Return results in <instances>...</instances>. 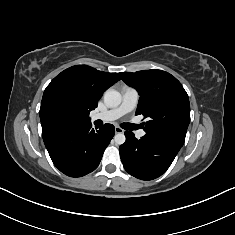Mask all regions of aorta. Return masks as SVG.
Here are the masks:
<instances>
[{
	"mask_svg": "<svg viewBox=\"0 0 235 235\" xmlns=\"http://www.w3.org/2000/svg\"><path fill=\"white\" fill-rule=\"evenodd\" d=\"M122 101L121 94L114 90V89H108L104 93V103L111 108L117 107L120 105ZM126 137L123 133H118L114 136V141L118 145H122L125 143Z\"/></svg>",
	"mask_w": 235,
	"mask_h": 235,
	"instance_id": "1",
	"label": "aorta"
}]
</instances>
